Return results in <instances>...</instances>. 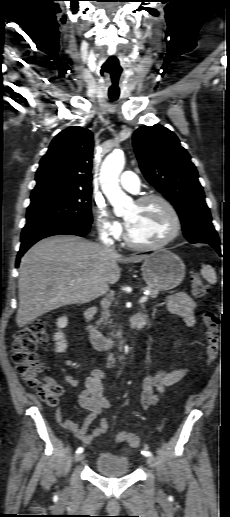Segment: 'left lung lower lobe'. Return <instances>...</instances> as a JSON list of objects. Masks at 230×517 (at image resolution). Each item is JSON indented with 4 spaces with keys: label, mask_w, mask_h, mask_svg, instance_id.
<instances>
[{
    "label": "left lung lower lobe",
    "mask_w": 230,
    "mask_h": 517,
    "mask_svg": "<svg viewBox=\"0 0 230 517\" xmlns=\"http://www.w3.org/2000/svg\"><path fill=\"white\" fill-rule=\"evenodd\" d=\"M190 243H207V244L211 245L219 254H221L218 238L201 239L197 242H190Z\"/></svg>",
    "instance_id": "1"
}]
</instances>
